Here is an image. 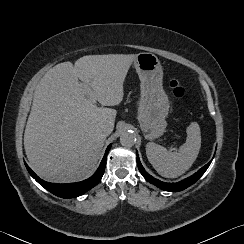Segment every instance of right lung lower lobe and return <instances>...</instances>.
Returning <instances> with one entry per match:
<instances>
[{
    "mask_svg": "<svg viewBox=\"0 0 244 244\" xmlns=\"http://www.w3.org/2000/svg\"><path fill=\"white\" fill-rule=\"evenodd\" d=\"M111 148V144L107 147L105 155L100 163L99 168L97 171L88 179L77 182V183H70V184H55L49 183L42 179H40L32 170L28 167L25 163V166L30 173V175L45 189H47L52 194L61 197V198H73L80 196L93 188L98 182L101 180L106 166V158L107 154Z\"/></svg>",
    "mask_w": 244,
    "mask_h": 244,
    "instance_id": "1",
    "label": "right lung lower lobe"
}]
</instances>
